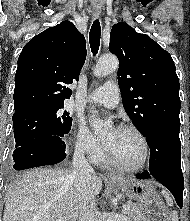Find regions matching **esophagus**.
Returning a JSON list of instances; mask_svg holds the SVG:
<instances>
[{
	"label": "esophagus",
	"mask_w": 190,
	"mask_h": 221,
	"mask_svg": "<svg viewBox=\"0 0 190 221\" xmlns=\"http://www.w3.org/2000/svg\"><path fill=\"white\" fill-rule=\"evenodd\" d=\"M100 10L99 9H94L93 10V15L95 16V17H97V16H99V14H100ZM109 175L110 176H116L114 173H109Z\"/></svg>",
	"instance_id": "1"
}]
</instances>
